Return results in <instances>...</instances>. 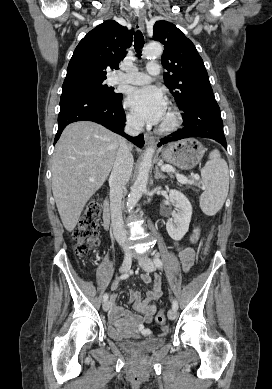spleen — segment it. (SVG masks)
I'll list each match as a JSON object with an SVG mask.
<instances>
[{
	"mask_svg": "<svg viewBox=\"0 0 272 389\" xmlns=\"http://www.w3.org/2000/svg\"><path fill=\"white\" fill-rule=\"evenodd\" d=\"M201 177L205 189L200 196V207L206 215L212 216L222 208L229 190L228 165L217 149L209 154V160L201 169Z\"/></svg>",
	"mask_w": 272,
	"mask_h": 389,
	"instance_id": "3e777b00",
	"label": "spleen"
}]
</instances>
